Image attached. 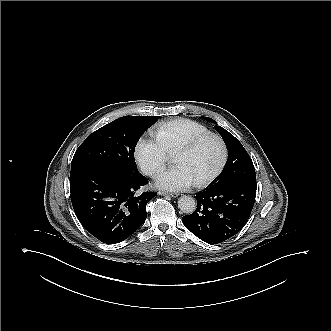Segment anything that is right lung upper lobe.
Listing matches in <instances>:
<instances>
[{"mask_svg": "<svg viewBox=\"0 0 331 331\" xmlns=\"http://www.w3.org/2000/svg\"><path fill=\"white\" fill-rule=\"evenodd\" d=\"M145 118H156V117H152V116H144Z\"/></svg>", "mask_w": 331, "mask_h": 331, "instance_id": "1", "label": "right lung upper lobe"}]
</instances>
